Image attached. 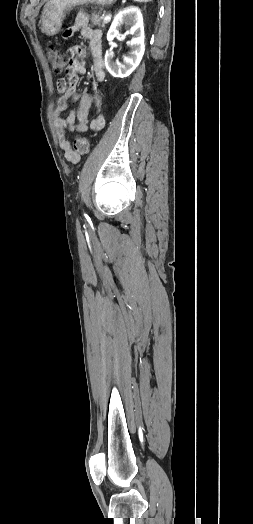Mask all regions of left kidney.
Listing matches in <instances>:
<instances>
[{"label": "left kidney", "mask_w": 253, "mask_h": 524, "mask_svg": "<svg viewBox=\"0 0 253 524\" xmlns=\"http://www.w3.org/2000/svg\"><path fill=\"white\" fill-rule=\"evenodd\" d=\"M123 24L129 27L127 34L133 35L130 41L131 52L124 57L123 63L115 61L111 51H106L105 54L106 69L112 76L120 78L129 76L137 68L145 51L143 16L136 7H128L114 17L107 40L112 41L119 34L118 29Z\"/></svg>", "instance_id": "1"}]
</instances>
